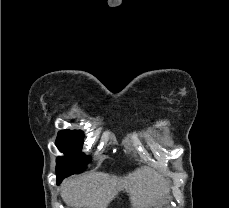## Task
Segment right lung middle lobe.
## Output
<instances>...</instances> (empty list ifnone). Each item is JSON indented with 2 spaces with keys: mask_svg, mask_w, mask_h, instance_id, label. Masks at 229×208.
<instances>
[{
  "mask_svg": "<svg viewBox=\"0 0 229 208\" xmlns=\"http://www.w3.org/2000/svg\"><path fill=\"white\" fill-rule=\"evenodd\" d=\"M84 133L81 130H62L56 139L57 148L64 153V157L57 158L56 175L68 177L86 169L90 162L89 156L81 152Z\"/></svg>",
  "mask_w": 229,
  "mask_h": 208,
  "instance_id": "1",
  "label": "right lung middle lobe"
}]
</instances>
